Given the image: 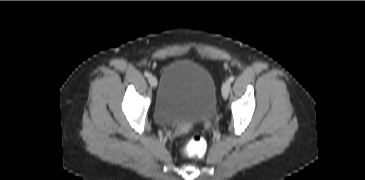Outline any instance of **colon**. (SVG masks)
<instances>
[{
    "instance_id": "5ec220e1",
    "label": "colon",
    "mask_w": 365,
    "mask_h": 180,
    "mask_svg": "<svg viewBox=\"0 0 365 180\" xmlns=\"http://www.w3.org/2000/svg\"><path fill=\"white\" fill-rule=\"evenodd\" d=\"M207 150L206 141L199 135L191 137L181 146L182 154L188 159H201Z\"/></svg>"
}]
</instances>
